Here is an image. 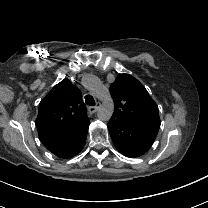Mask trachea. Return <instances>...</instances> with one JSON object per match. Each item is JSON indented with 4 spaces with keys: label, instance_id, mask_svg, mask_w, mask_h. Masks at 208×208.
Here are the masks:
<instances>
[{
    "label": "trachea",
    "instance_id": "trachea-1",
    "mask_svg": "<svg viewBox=\"0 0 208 208\" xmlns=\"http://www.w3.org/2000/svg\"><path fill=\"white\" fill-rule=\"evenodd\" d=\"M85 103L89 106H95V100H94L93 96L86 95L85 96Z\"/></svg>",
    "mask_w": 208,
    "mask_h": 208
}]
</instances>
